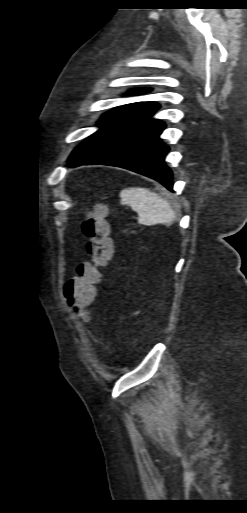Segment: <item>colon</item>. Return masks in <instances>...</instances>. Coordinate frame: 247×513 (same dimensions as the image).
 Segmentation results:
<instances>
[{
    "label": "colon",
    "instance_id": "colon-1",
    "mask_svg": "<svg viewBox=\"0 0 247 513\" xmlns=\"http://www.w3.org/2000/svg\"><path fill=\"white\" fill-rule=\"evenodd\" d=\"M81 230L86 238V251L90 260L79 264L75 273L66 281L63 297L76 313L87 320L89 316L84 308L93 300L102 281L101 269L112 255L107 209L100 206L90 212L83 221Z\"/></svg>",
    "mask_w": 247,
    "mask_h": 513
}]
</instances>
